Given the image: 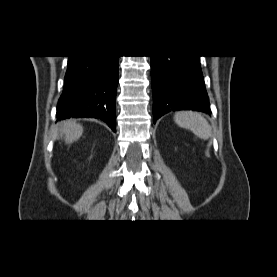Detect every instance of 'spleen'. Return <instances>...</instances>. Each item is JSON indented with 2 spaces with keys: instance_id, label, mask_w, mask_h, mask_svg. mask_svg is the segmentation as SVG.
Returning a JSON list of instances; mask_svg holds the SVG:
<instances>
[{
  "instance_id": "1",
  "label": "spleen",
  "mask_w": 277,
  "mask_h": 277,
  "mask_svg": "<svg viewBox=\"0 0 277 277\" xmlns=\"http://www.w3.org/2000/svg\"><path fill=\"white\" fill-rule=\"evenodd\" d=\"M176 124L182 128L191 130L197 137L208 139L211 136V128L207 120L200 114L183 111L174 116Z\"/></svg>"
}]
</instances>
